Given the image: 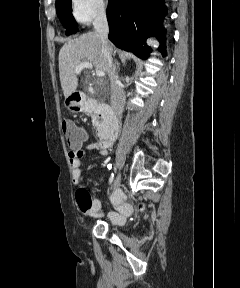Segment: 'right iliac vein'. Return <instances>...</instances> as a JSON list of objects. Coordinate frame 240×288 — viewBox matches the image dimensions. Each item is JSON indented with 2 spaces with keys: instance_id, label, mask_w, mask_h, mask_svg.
I'll return each mask as SVG.
<instances>
[{
  "instance_id": "63e3f726",
  "label": "right iliac vein",
  "mask_w": 240,
  "mask_h": 288,
  "mask_svg": "<svg viewBox=\"0 0 240 288\" xmlns=\"http://www.w3.org/2000/svg\"><path fill=\"white\" fill-rule=\"evenodd\" d=\"M120 182H121V175L118 174L112 187L113 191L116 190L120 186Z\"/></svg>"
}]
</instances>
